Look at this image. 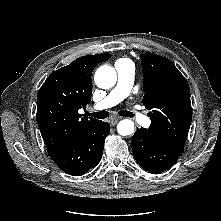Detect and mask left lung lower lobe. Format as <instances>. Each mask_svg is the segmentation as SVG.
<instances>
[{
  "label": "left lung lower lobe",
  "mask_w": 221,
  "mask_h": 221,
  "mask_svg": "<svg viewBox=\"0 0 221 221\" xmlns=\"http://www.w3.org/2000/svg\"><path fill=\"white\" fill-rule=\"evenodd\" d=\"M132 151L138 164L150 173H161L171 168L183 148L166 144L147 129H137L132 137Z\"/></svg>",
  "instance_id": "obj_1"
}]
</instances>
